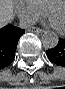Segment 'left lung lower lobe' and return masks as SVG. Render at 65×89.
Segmentation results:
<instances>
[{"label":"left lung lower lobe","mask_w":65,"mask_h":89,"mask_svg":"<svg viewBox=\"0 0 65 89\" xmlns=\"http://www.w3.org/2000/svg\"><path fill=\"white\" fill-rule=\"evenodd\" d=\"M46 53L53 63L65 67V38H60L57 46L49 49Z\"/></svg>","instance_id":"0a47b994"}]
</instances>
